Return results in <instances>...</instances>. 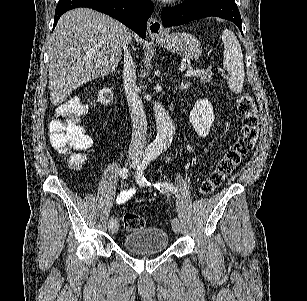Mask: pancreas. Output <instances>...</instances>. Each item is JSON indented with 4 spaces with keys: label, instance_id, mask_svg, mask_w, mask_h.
Masks as SVG:
<instances>
[{
    "label": "pancreas",
    "instance_id": "obj_1",
    "mask_svg": "<svg viewBox=\"0 0 307 301\" xmlns=\"http://www.w3.org/2000/svg\"><path fill=\"white\" fill-rule=\"evenodd\" d=\"M212 70H195L194 74H191L193 78H199L201 84H206V82H212Z\"/></svg>",
    "mask_w": 307,
    "mask_h": 301
}]
</instances>
